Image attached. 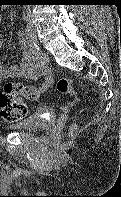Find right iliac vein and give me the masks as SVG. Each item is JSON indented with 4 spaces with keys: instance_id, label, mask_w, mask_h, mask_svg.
<instances>
[{
    "instance_id": "right-iliac-vein-1",
    "label": "right iliac vein",
    "mask_w": 121,
    "mask_h": 197,
    "mask_svg": "<svg viewBox=\"0 0 121 197\" xmlns=\"http://www.w3.org/2000/svg\"><path fill=\"white\" fill-rule=\"evenodd\" d=\"M30 34L35 40H37L36 31L33 28H31Z\"/></svg>"
}]
</instances>
